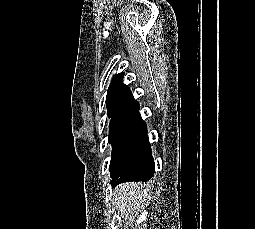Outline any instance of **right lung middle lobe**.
<instances>
[{"label":"right lung middle lobe","instance_id":"right-lung-middle-lobe-1","mask_svg":"<svg viewBox=\"0 0 255 229\" xmlns=\"http://www.w3.org/2000/svg\"><path fill=\"white\" fill-rule=\"evenodd\" d=\"M109 142L112 144L111 175L126 173L134 165L147 167L152 160L147 131L126 115L110 121Z\"/></svg>","mask_w":255,"mask_h":229}]
</instances>
